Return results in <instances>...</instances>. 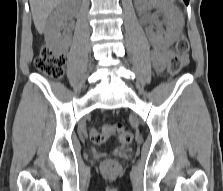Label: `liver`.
<instances>
[{
  "label": "liver",
  "instance_id": "liver-1",
  "mask_svg": "<svg viewBox=\"0 0 223 191\" xmlns=\"http://www.w3.org/2000/svg\"><path fill=\"white\" fill-rule=\"evenodd\" d=\"M62 1L63 0H30L34 25L40 34L45 31L49 15Z\"/></svg>",
  "mask_w": 223,
  "mask_h": 191
}]
</instances>
